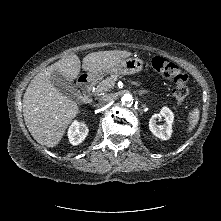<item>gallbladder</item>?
<instances>
[{
    "mask_svg": "<svg viewBox=\"0 0 221 221\" xmlns=\"http://www.w3.org/2000/svg\"><path fill=\"white\" fill-rule=\"evenodd\" d=\"M51 82L53 86L65 96L74 97L78 93L75 84L69 82L61 73L57 71L52 73Z\"/></svg>",
    "mask_w": 221,
    "mask_h": 221,
    "instance_id": "obj_1",
    "label": "gallbladder"
}]
</instances>
